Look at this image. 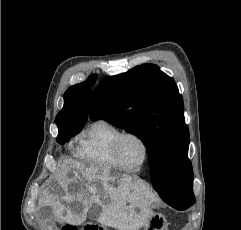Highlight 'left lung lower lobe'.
<instances>
[{
	"label": "left lung lower lobe",
	"mask_w": 241,
	"mask_h": 230,
	"mask_svg": "<svg viewBox=\"0 0 241 230\" xmlns=\"http://www.w3.org/2000/svg\"><path fill=\"white\" fill-rule=\"evenodd\" d=\"M150 177L155 190L158 191L159 187L164 181L163 165H161L160 162L153 163L150 166ZM167 204L177 210H185L192 205V204H181V203H171V202Z\"/></svg>",
	"instance_id": "1"
}]
</instances>
